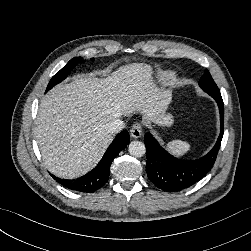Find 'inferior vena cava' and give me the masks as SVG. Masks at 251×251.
<instances>
[{
    "label": "inferior vena cava",
    "instance_id": "obj_1",
    "mask_svg": "<svg viewBox=\"0 0 251 251\" xmlns=\"http://www.w3.org/2000/svg\"><path fill=\"white\" fill-rule=\"evenodd\" d=\"M125 124L120 119H114L108 124V131L110 133H118L124 128Z\"/></svg>",
    "mask_w": 251,
    "mask_h": 251
}]
</instances>
